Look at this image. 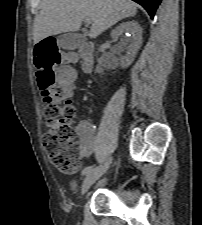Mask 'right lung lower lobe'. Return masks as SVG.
Segmentation results:
<instances>
[{
    "instance_id": "obj_1",
    "label": "right lung lower lobe",
    "mask_w": 202,
    "mask_h": 225,
    "mask_svg": "<svg viewBox=\"0 0 202 225\" xmlns=\"http://www.w3.org/2000/svg\"><path fill=\"white\" fill-rule=\"evenodd\" d=\"M133 1L142 5L146 9V11L149 13L151 18L154 17L155 11L161 2V0H133Z\"/></svg>"
}]
</instances>
